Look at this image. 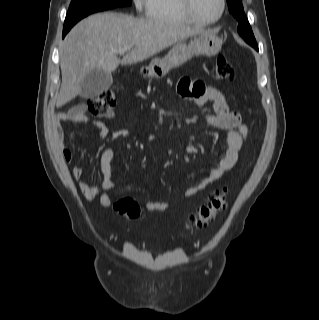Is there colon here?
I'll return each mask as SVG.
<instances>
[{
    "label": "colon",
    "instance_id": "1",
    "mask_svg": "<svg viewBox=\"0 0 319 320\" xmlns=\"http://www.w3.org/2000/svg\"><path fill=\"white\" fill-rule=\"evenodd\" d=\"M215 77L219 80H231L234 69L226 56L220 54L216 59ZM116 105V95L112 90H106L93 97L88 103V111L97 117H111ZM227 192L218 191L209 196L207 201L189 218L191 228H203L211 223L217 214L226 206ZM114 209L129 219H137L141 208L133 198H121L114 204Z\"/></svg>",
    "mask_w": 319,
    "mask_h": 320
}]
</instances>
